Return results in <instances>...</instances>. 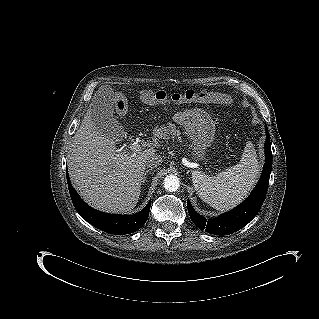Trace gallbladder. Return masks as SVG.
<instances>
[{"instance_id":"obj_1","label":"gallbladder","mask_w":319,"mask_h":319,"mask_svg":"<svg viewBox=\"0 0 319 319\" xmlns=\"http://www.w3.org/2000/svg\"><path fill=\"white\" fill-rule=\"evenodd\" d=\"M113 91L105 86L97 93L91 103V115L97 131L103 135L123 134L124 129L114 117Z\"/></svg>"}]
</instances>
